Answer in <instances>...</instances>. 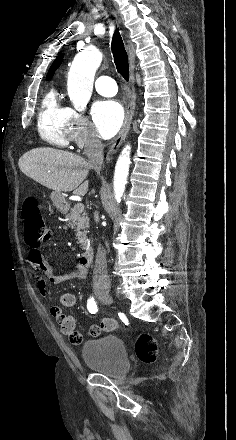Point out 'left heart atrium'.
I'll return each mask as SVG.
<instances>
[{"label": "left heart atrium", "mask_w": 236, "mask_h": 440, "mask_svg": "<svg viewBox=\"0 0 236 440\" xmlns=\"http://www.w3.org/2000/svg\"><path fill=\"white\" fill-rule=\"evenodd\" d=\"M92 115L96 131L104 139L113 137L124 121L123 107L115 100L97 102L93 106Z\"/></svg>", "instance_id": "left-heart-atrium-1"}]
</instances>
